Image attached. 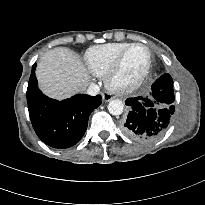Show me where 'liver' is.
Segmentation results:
<instances>
[{
	"mask_svg": "<svg viewBox=\"0 0 205 205\" xmlns=\"http://www.w3.org/2000/svg\"><path fill=\"white\" fill-rule=\"evenodd\" d=\"M36 76L43 93L59 100L83 91L89 81L80 57L64 47L53 48L41 57Z\"/></svg>",
	"mask_w": 205,
	"mask_h": 205,
	"instance_id": "obj_1",
	"label": "liver"
}]
</instances>
